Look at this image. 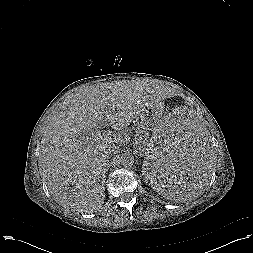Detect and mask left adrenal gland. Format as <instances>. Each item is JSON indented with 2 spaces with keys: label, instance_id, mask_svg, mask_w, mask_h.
Returning <instances> with one entry per match:
<instances>
[{
  "label": "left adrenal gland",
  "instance_id": "left-adrenal-gland-1",
  "mask_svg": "<svg viewBox=\"0 0 253 253\" xmlns=\"http://www.w3.org/2000/svg\"><path fill=\"white\" fill-rule=\"evenodd\" d=\"M136 152L139 153L140 155L142 154V150L140 148Z\"/></svg>",
  "mask_w": 253,
  "mask_h": 253
}]
</instances>
